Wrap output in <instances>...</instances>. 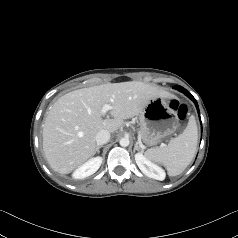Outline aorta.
Instances as JSON below:
<instances>
[{
  "instance_id": "aorta-1",
  "label": "aorta",
  "mask_w": 238,
  "mask_h": 238,
  "mask_svg": "<svg viewBox=\"0 0 238 238\" xmlns=\"http://www.w3.org/2000/svg\"><path fill=\"white\" fill-rule=\"evenodd\" d=\"M119 144L122 147H127L130 144V141L128 138L124 137L120 139Z\"/></svg>"
}]
</instances>
